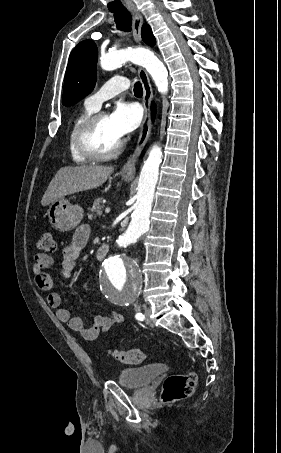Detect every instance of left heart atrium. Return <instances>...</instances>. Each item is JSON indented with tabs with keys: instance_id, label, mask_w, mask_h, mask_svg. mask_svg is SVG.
I'll return each mask as SVG.
<instances>
[{
	"instance_id": "obj_1",
	"label": "left heart atrium",
	"mask_w": 281,
	"mask_h": 453,
	"mask_svg": "<svg viewBox=\"0 0 281 453\" xmlns=\"http://www.w3.org/2000/svg\"><path fill=\"white\" fill-rule=\"evenodd\" d=\"M108 118L114 132L122 138L139 127L142 111L138 104L119 101Z\"/></svg>"
}]
</instances>
